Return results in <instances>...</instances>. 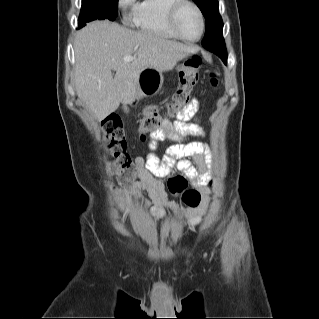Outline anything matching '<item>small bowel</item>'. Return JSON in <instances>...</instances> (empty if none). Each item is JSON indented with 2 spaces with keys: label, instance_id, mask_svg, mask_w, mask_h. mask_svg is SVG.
I'll use <instances>...</instances> for the list:
<instances>
[{
  "label": "small bowel",
  "instance_id": "c3829d8e",
  "mask_svg": "<svg viewBox=\"0 0 319 319\" xmlns=\"http://www.w3.org/2000/svg\"><path fill=\"white\" fill-rule=\"evenodd\" d=\"M197 110L198 102L193 100L178 114L175 122L165 119L161 129L150 135L149 148L152 152L145 157L136 158V165L140 168V178L136 187L147 192L149 196H140L139 200L155 221L162 220L170 213L180 217L189 226L200 223V214H185L177 203L168 199L159 177L166 176L173 170L184 173L202 193V208H205L209 200V191L206 188L208 175L204 172V163L210 158L208 145L200 141L182 142L190 134L205 136L204 130L198 124L188 123ZM164 141H173L175 144L167 149L163 158H160L153 151ZM192 160L200 166V173L193 166Z\"/></svg>",
  "mask_w": 319,
  "mask_h": 319
}]
</instances>
